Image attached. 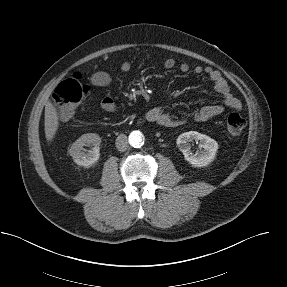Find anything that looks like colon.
Instances as JSON below:
<instances>
[{"label": "colon", "instance_id": "colon-1", "mask_svg": "<svg viewBox=\"0 0 287 287\" xmlns=\"http://www.w3.org/2000/svg\"><path fill=\"white\" fill-rule=\"evenodd\" d=\"M88 90V86L81 81V77L78 75L66 79L58 85L54 92L53 100L61 120L72 117L76 106L87 94ZM245 124V119L237 112L230 113L226 117V129L232 136L239 135L243 131Z\"/></svg>", "mask_w": 287, "mask_h": 287}]
</instances>
